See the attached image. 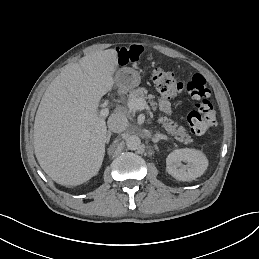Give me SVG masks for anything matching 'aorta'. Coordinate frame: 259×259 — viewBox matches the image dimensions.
Returning <instances> with one entry per match:
<instances>
[{"label":"aorta","mask_w":259,"mask_h":259,"mask_svg":"<svg viewBox=\"0 0 259 259\" xmlns=\"http://www.w3.org/2000/svg\"><path fill=\"white\" fill-rule=\"evenodd\" d=\"M126 146L130 150H137L141 146V140L137 135H130L126 138Z\"/></svg>","instance_id":"obj_1"}]
</instances>
